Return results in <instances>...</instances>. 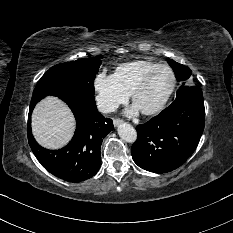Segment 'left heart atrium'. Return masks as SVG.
<instances>
[{
    "instance_id": "39dd6f15",
    "label": "left heart atrium",
    "mask_w": 233,
    "mask_h": 233,
    "mask_svg": "<svg viewBox=\"0 0 233 233\" xmlns=\"http://www.w3.org/2000/svg\"><path fill=\"white\" fill-rule=\"evenodd\" d=\"M140 110L137 108V106L134 104L129 110L128 113L131 115H136L138 114Z\"/></svg>"
}]
</instances>
